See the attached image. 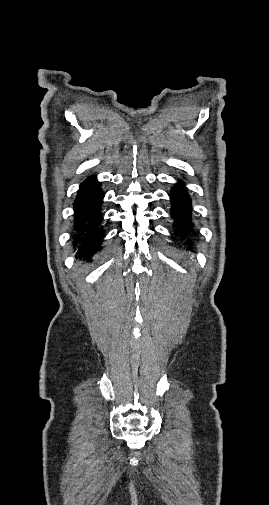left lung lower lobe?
<instances>
[{
	"instance_id": "1",
	"label": "left lung lower lobe",
	"mask_w": 269,
	"mask_h": 505,
	"mask_svg": "<svg viewBox=\"0 0 269 505\" xmlns=\"http://www.w3.org/2000/svg\"><path fill=\"white\" fill-rule=\"evenodd\" d=\"M169 195L172 200L171 216L174 219V233L180 239L191 242L190 236L195 234V230L191 215V200L186 193V188L181 184H177ZM190 245L192 246V244Z\"/></svg>"
}]
</instances>
